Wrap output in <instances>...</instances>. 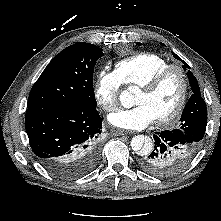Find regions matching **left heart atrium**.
<instances>
[{
  "label": "left heart atrium",
  "instance_id": "obj_1",
  "mask_svg": "<svg viewBox=\"0 0 221 221\" xmlns=\"http://www.w3.org/2000/svg\"><path fill=\"white\" fill-rule=\"evenodd\" d=\"M108 120L113 126L121 129L140 130L151 124L155 117L147 106L137 105L110 114Z\"/></svg>",
  "mask_w": 221,
  "mask_h": 221
}]
</instances>
